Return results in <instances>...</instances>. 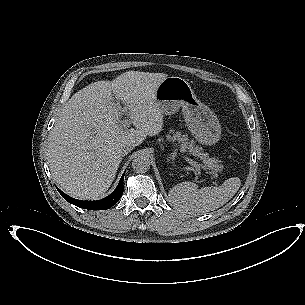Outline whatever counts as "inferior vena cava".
<instances>
[{
    "label": "inferior vena cava",
    "instance_id": "602c4592",
    "mask_svg": "<svg viewBox=\"0 0 305 305\" xmlns=\"http://www.w3.org/2000/svg\"><path fill=\"white\" fill-rule=\"evenodd\" d=\"M135 145L133 143H130V142H125V143H122L120 148H121V152L126 155L128 154L129 152H131L133 149H134Z\"/></svg>",
    "mask_w": 305,
    "mask_h": 305
}]
</instances>
